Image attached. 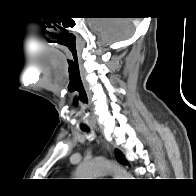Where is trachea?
<instances>
[{"label":"trachea","instance_id":"trachea-1","mask_svg":"<svg viewBox=\"0 0 196 196\" xmlns=\"http://www.w3.org/2000/svg\"><path fill=\"white\" fill-rule=\"evenodd\" d=\"M82 130H83V131H88V128H83Z\"/></svg>","mask_w":196,"mask_h":196}]
</instances>
